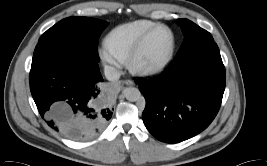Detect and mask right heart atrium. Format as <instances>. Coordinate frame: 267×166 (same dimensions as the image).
<instances>
[{"mask_svg": "<svg viewBox=\"0 0 267 166\" xmlns=\"http://www.w3.org/2000/svg\"><path fill=\"white\" fill-rule=\"evenodd\" d=\"M101 59L112 67H117L122 62L119 56L112 50L108 43H105L100 50Z\"/></svg>", "mask_w": 267, "mask_h": 166, "instance_id": "right-heart-atrium-1", "label": "right heart atrium"}]
</instances>
